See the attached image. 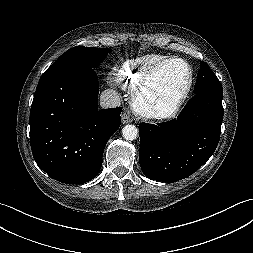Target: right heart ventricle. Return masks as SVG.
Masks as SVG:
<instances>
[{
    "label": "right heart ventricle",
    "instance_id": "e07e8e85",
    "mask_svg": "<svg viewBox=\"0 0 253 253\" xmlns=\"http://www.w3.org/2000/svg\"><path fill=\"white\" fill-rule=\"evenodd\" d=\"M169 58L162 54H146L125 61L115 73L114 81L134 93L144 75L157 63Z\"/></svg>",
    "mask_w": 253,
    "mask_h": 253
}]
</instances>
